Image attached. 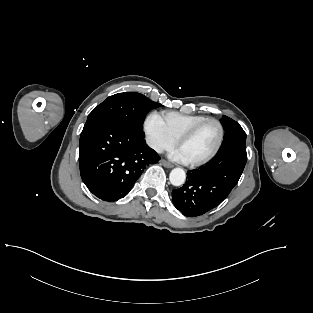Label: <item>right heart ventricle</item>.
<instances>
[{"label": "right heart ventricle", "instance_id": "right-heart-ventricle-1", "mask_svg": "<svg viewBox=\"0 0 313 313\" xmlns=\"http://www.w3.org/2000/svg\"><path fill=\"white\" fill-rule=\"evenodd\" d=\"M169 135L176 141L189 128L206 119L203 115H188L179 112H164L160 115Z\"/></svg>", "mask_w": 313, "mask_h": 313}]
</instances>
